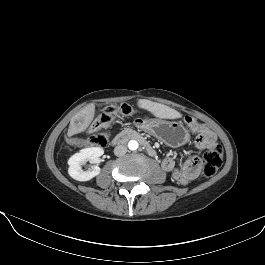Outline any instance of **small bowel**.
Returning a JSON list of instances; mask_svg holds the SVG:
<instances>
[{"mask_svg":"<svg viewBox=\"0 0 265 265\" xmlns=\"http://www.w3.org/2000/svg\"><path fill=\"white\" fill-rule=\"evenodd\" d=\"M193 131L197 133L195 145L198 149H207L217 144L215 133L210 131L205 125H203L201 131ZM161 166L164 171L171 174L174 181L181 185H187L197 180L200 176L199 159L195 155L188 156L181 167H177L171 158H165Z\"/></svg>","mask_w":265,"mask_h":265,"instance_id":"1","label":"small bowel"}]
</instances>
